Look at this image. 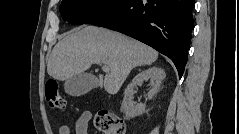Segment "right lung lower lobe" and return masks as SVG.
Listing matches in <instances>:
<instances>
[{"instance_id":"obj_1","label":"right lung lower lobe","mask_w":239,"mask_h":134,"mask_svg":"<svg viewBox=\"0 0 239 134\" xmlns=\"http://www.w3.org/2000/svg\"><path fill=\"white\" fill-rule=\"evenodd\" d=\"M194 0H119L85 24L131 36L169 57L181 78L193 28Z\"/></svg>"}]
</instances>
